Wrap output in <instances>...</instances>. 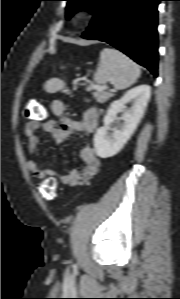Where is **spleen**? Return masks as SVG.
<instances>
[{
    "label": "spleen",
    "mask_w": 180,
    "mask_h": 299,
    "mask_svg": "<svg viewBox=\"0 0 180 299\" xmlns=\"http://www.w3.org/2000/svg\"><path fill=\"white\" fill-rule=\"evenodd\" d=\"M139 76V65L117 49L104 48L100 53L93 81L99 85L111 82L115 89L123 90L133 85ZM63 86L64 82L56 78L47 83V88L52 92L62 89Z\"/></svg>",
    "instance_id": "spleen-1"
}]
</instances>
